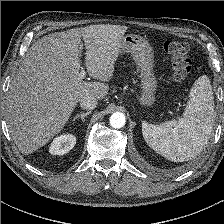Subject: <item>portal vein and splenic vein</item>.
<instances>
[{"label":"portal vein and splenic vein","mask_w":224,"mask_h":224,"mask_svg":"<svg viewBox=\"0 0 224 224\" xmlns=\"http://www.w3.org/2000/svg\"><path fill=\"white\" fill-rule=\"evenodd\" d=\"M85 76H86V72H85V70L82 69L79 74V79L83 80L85 78Z\"/></svg>","instance_id":"1"}]
</instances>
